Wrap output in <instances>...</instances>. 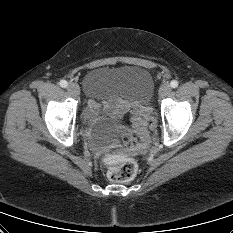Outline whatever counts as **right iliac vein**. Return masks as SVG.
I'll return each instance as SVG.
<instances>
[{
    "label": "right iliac vein",
    "instance_id": "1",
    "mask_svg": "<svg viewBox=\"0 0 233 233\" xmlns=\"http://www.w3.org/2000/svg\"><path fill=\"white\" fill-rule=\"evenodd\" d=\"M67 90L74 97H77L80 94L79 86L75 83H70L67 87Z\"/></svg>",
    "mask_w": 233,
    "mask_h": 233
}]
</instances>
